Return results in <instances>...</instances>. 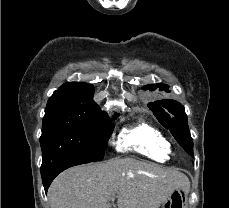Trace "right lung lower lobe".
Wrapping results in <instances>:
<instances>
[{
    "instance_id": "obj_1",
    "label": "right lung lower lobe",
    "mask_w": 229,
    "mask_h": 208,
    "mask_svg": "<svg viewBox=\"0 0 229 208\" xmlns=\"http://www.w3.org/2000/svg\"><path fill=\"white\" fill-rule=\"evenodd\" d=\"M89 162L91 161L84 160V159H77V158H63L56 161L51 166L42 169L41 176H42V182H43L45 192H47L51 182L59 173H61L62 171H64L69 167L85 164Z\"/></svg>"
}]
</instances>
